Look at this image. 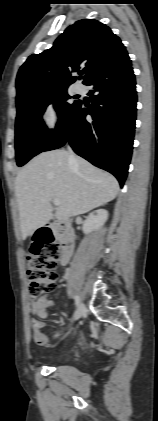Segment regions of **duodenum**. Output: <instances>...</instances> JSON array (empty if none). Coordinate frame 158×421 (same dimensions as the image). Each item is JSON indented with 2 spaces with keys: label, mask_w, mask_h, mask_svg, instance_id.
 I'll list each match as a JSON object with an SVG mask.
<instances>
[{
  "label": "duodenum",
  "mask_w": 158,
  "mask_h": 421,
  "mask_svg": "<svg viewBox=\"0 0 158 421\" xmlns=\"http://www.w3.org/2000/svg\"><path fill=\"white\" fill-rule=\"evenodd\" d=\"M52 230H55L60 239L61 243V257L60 263L66 264L74 250L75 244V233L70 223L65 219L54 220L46 224L41 231L43 233H51Z\"/></svg>",
  "instance_id": "duodenum-1"
}]
</instances>
